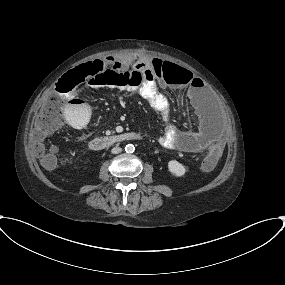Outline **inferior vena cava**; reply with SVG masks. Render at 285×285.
Listing matches in <instances>:
<instances>
[{
  "label": "inferior vena cava",
  "mask_w": 285,
  "mask_h": 285,
  "mask_svg": "<svg viewBox=\"0 0 285 285\" xmlns=\"http://www.w3.org/2000/svg\"><path fill=\"white\" fill-rule=\"evenodd\" d=\"M122 151V149L120 147H114L111 152L113 154H119Z\"/></svg>",
  "instance_id": "inferior-vena-cava-1"
}]
</instances>
